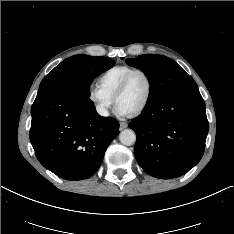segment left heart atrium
Masks as SVG:
<instances>
[{
    "instance_id": "1",
    "label": "left heart atrium",
    "mask_w": 234,
    "mask_h": 234,
    "mask_svg": "<svg viewBox=\"0 0 234 234\" xmlns=\"http://www.w3.org/2000/svg\"><path fill=\"white\" fill-rule=\"evenodd\" d=\"M116 113L118 114V115H120V116H125V115H127L128 113L125 111V110H123L122 108H120V107H116Z\"/></svg>"
}]
</instances>
